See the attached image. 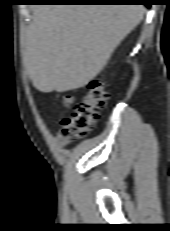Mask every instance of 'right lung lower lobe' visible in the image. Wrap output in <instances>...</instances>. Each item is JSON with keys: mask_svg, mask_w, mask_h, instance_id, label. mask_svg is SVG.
I'll list each match as a JSON object with an SVG mask.
<instances>
[{"mask_svg": "<svg viewBox=\"0 0 170 231\" xmlns=\"http://www.w3.org/2000/svg\"><path fill=\"white\" fill-rule=\"evenodd\" d=\"M43 3H142L150 6L148 0H32Z\"/></svg>", "mask_w": 170, "mask_h": 231, "instance_id": "98d812e1", "label": "right lung lower lobe"}]
</instances>
